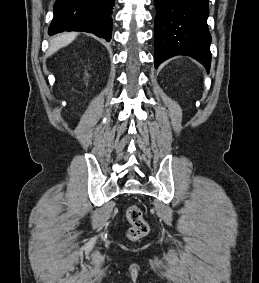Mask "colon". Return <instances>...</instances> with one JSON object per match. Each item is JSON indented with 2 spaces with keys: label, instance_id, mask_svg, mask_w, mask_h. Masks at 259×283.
<instances>
[{
  "label": "colon",
  "instance_id": "colon-1",
  "mask_svg": "<svg viewBox=\"0 0 259 283\" xmlns=\"http://www.w3.org/2000/svg\"><path fill=\"white\" fill-rule=\"evenodd\" d=\"M126 218L130 223L127 235L131 240H137L148 232V223L143 217L141 209L136 205H131L126 210Z\"/></svg>",
  "mask_w": 259,
  "mask_h": 283
}]
</instances>
